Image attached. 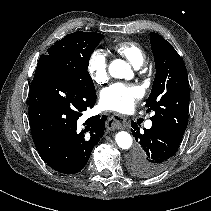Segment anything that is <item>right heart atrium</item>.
Returning a JSON list of instances; mask_svg holds the SVG:
<instances>
[{
    "mask_svg": "<svg viewBox=\"0 0 211 211\" xmlns=\"http://www.w3.org/2000/svg\"><path fill=\"white\" fill-rule=\"evenodd\" d=\"M87 70L97 84H103L108 80V61L103 51L92 52L87 60Z\"/></svg>",
    "mask_w": 211,
    "mask_h": 211,
    "instance_id": "obj_1",
    "label": "right heart atrium"
}]
</instances>
